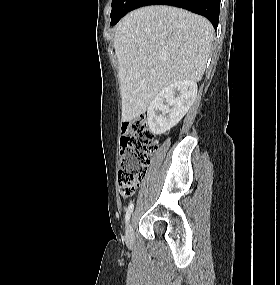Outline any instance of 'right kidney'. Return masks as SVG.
Segmentation results:
<instances>
[{"instance_id": "obj_1", "label": "right kidney", "mask_w": 280, "mask_h": 285, "mask_svg": "<svg viewBox=\"0 0 280 285\" xmlns=\"http://www.w3.org/2000/svg\"><path fill=\"white\" fill-rule=\"evenodd\" d=\"M197 95V84L179 80L165 88L150 102L147 122L153 134H163L173 128L188 112Z\"/></svg>"}]
</instances>
